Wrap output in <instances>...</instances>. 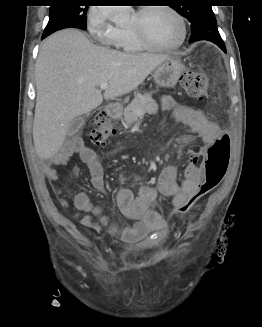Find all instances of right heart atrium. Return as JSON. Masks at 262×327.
Masks as SVG:
<instances>
[{
  "label": "right heart atrium",
  "mask_w": 262,
  "mask_h": 327,
  "mask_svg": "<svg viewBox=\"0 0 262 327\" xmlns=\"http://www.w3.org/2000/svg\"><path fill=\"white\" fill-rule=\"evenodd\" d=\"M86 25L96 41L103 45L117 46L119 30L110 19L108 8L93 6L87 13Z\"/></svg>",
  "instance_id": "right-heart-atrium-1"
}]
</instances>
